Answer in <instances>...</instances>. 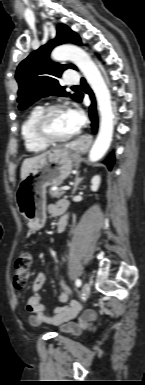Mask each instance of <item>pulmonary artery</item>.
<instances>
[{"label": "pulmonary artery", "mask_w": 145, "mask_h": 385, "mask_svg": "<svg viewBox=\"0 0 145 385\" xmlns=\"http://www.w3.org/2000/svg\"><path fill=\"white\" fill-rule=\"evenodd\" d=\"M78 80H79L78 75L74 71L70 70V71L66 72V77H65V83L66 84L72 85V84L77 83Z\"/></svg>", "instance_id": "1"}]
</instances>
